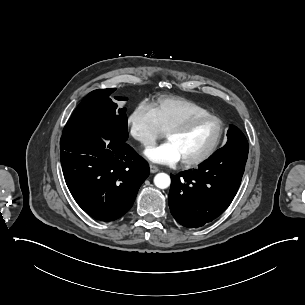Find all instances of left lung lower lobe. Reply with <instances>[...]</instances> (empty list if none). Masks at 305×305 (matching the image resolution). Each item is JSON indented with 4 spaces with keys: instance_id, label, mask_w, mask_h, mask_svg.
I'll return each mask as SVG.
<instances>
[{
    "instance_id": "obj_1",
    "label": "left lung lower lobe",
    "mask_w": 305,
    "mask_h": 305,
    "mask_svg": "<svg viewBox=\"0 0 305 305\" xmlns=\"http://www.w3.org/2000/svg\"><path fill=\"white\" fill-rule=\"evenodd\" d=\"M248 150V144L222 147L198 169L171 175L168 201L175 220L197 228L220 216L239 189Z\"/></svg>"
}]
</instances>
